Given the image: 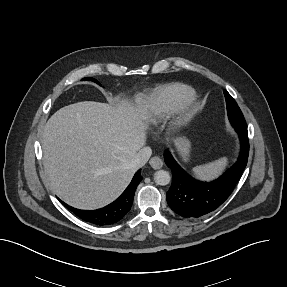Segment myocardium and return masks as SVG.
I'll return each instance as SVG.
<instances>
[{
    "instance_id": "myocardium-1",
    "label": "myocardium",
    "mask_w": 287,
    "mask_h": 287,
    "mask_svg": "<svg viewBox=\"0 0 287 287\" xmlns=\"http://www.w3.org/2000/svg\"><path fill=\"white\" fill-rule=\"evenodd\" d=\"M199 108V100L193 92L187 93L171 110L168 131L172 136H179L191 122Z\"/></svg>"
}]
</instances>
